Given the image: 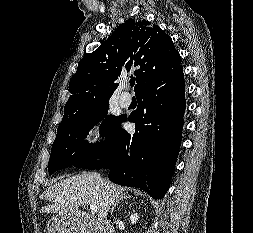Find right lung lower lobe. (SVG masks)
I'll use <instances>...</instances> for the list:
<instances>
[{
	"mask_svg": "<svg viewBox=\"0 0 253 233\" xmlns=\"http://www.w3.org/2000/svg\"><path fill=\"white\" fill-rule=\"evenodd\" d=\"M184 89L181 65L146 83L136 94L138 109L128 119L136 124L135 133L122 129L127 119L122 115L103 150L76 167L107 168L112 182L163 198L181 143Z\"/></svg>",
	"mask_w": 253,
	"mask_h": 233,
	"instance_id": "obj_1",
	"label": "right lung lower lobe"
}]
</instances>
